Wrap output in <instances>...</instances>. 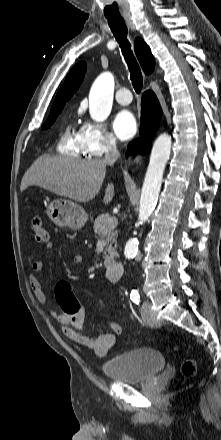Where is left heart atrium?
I'll return each instance as SVG.
<instances>
[{
    "label": "left heart atrium",
    "instance_id": "39dd6f15",
    "mask_svg": "<svg viewBox=\"0 0 221 440\" xmlns=\"http://www.w3.org/2000/svg\"><path fill=\"white\" fill-rule=\"evenodd\" d=\"M112 126L117 137L122 140L131 138L137 130L136 120L133 114L127 110H123L115 116Z\"/></svg>",
    "mask_w": 221,
    "mask_h": 440
}]
</instances>
